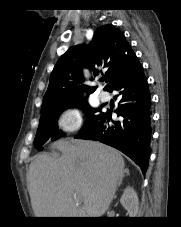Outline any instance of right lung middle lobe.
I'll return each mask as SVG.
<instances>
[{
    "label": "right lung middle lobe",
    "mask_w": 181,
    "mask_h": 227,
    "mask_svg": "<svg viewBox=\"0 0 181 227\" xmlns=\"http://www.w3.org/2000/svg\"><path fill=\"white\" fill-rule=\"evenodd\" d=\"M76 106L82 107L88 112L87 125L83 129L98 121L100 109H89L87 101L81 98L41 109L40 123L34 140V145L38 150H43L44 143L49 139L54 141L63 135L58 129V117L63 110Z\"/></svg>",
    "instance_id": "obj_1"
}]
</instances>
